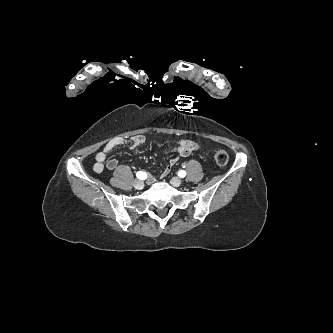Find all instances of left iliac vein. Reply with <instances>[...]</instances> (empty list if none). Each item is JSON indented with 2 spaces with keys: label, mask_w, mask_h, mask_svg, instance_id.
<instances>
[{
  "label": "left iliac vein",
  "mask_w": 333,
  "mask_h": 333,
  "mask_svg": "<svg viewBox=\"0 0 333 333\" xmlns=\"http://www.w3.org/2000/svg\"><path fill=\"white\" fill-rule=\"evenodd\" d=\"M171 184L175 187H179L182 184V180L178 177H173L171 179Z\"/></svg>",
  "instance_id": "1"
}]
</instances>
